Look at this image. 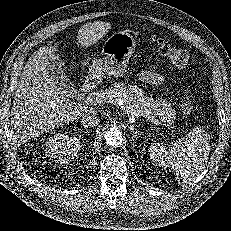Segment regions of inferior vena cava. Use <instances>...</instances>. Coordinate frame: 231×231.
<instances>
[{
	"label": "inferior vena cava",
	"mask_w": 231,
	"mask_h": 231,
	"mask_svg": "<svg viewBox=\"0 0 231 231\" xmlns=\"http://www.w3.org/2000/svg\"><path fill=\"white\" fill-rule=\"evenodd\" d=\"M81 123L86 128H93L99 125L100 119L94 113H87L82 117Z\"/></svg>",
	"instance_id": "inferior-vena-cava-1"
}]
</instances>
